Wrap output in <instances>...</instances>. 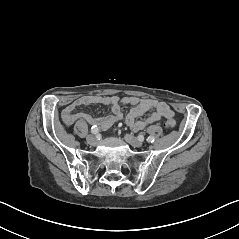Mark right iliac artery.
Instances as JSON below:
<instances>
[{
	"mask_svg": "<svg viewBox=\"0 0 239 239\" xmlns=\"http://www.w3.org/2000/svg\"><path fill=\"white\" fill-rule=\"evenodd\" d=\"M98 132H99V129L96 126H92L91 133L92 134H98Z\"/></svg>",
	"mask_w": 239,
	"mask_h": 239,
	"instance_id": "82829eb1",
	"label": "right iliac artery"
}]
</instances>
